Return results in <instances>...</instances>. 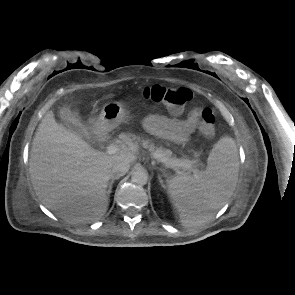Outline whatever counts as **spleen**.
<instances>
[{"instance_id": "3e777b00", "label": "spleen", "mask_w": 295, "mask_h": 295, "mask_svg": "<svg viewBox=\"0 0 295 295\" xmlns=\"http://www.w3.org/2000/svg\"><path fill=\"white\" fill-rule=\"evenodd\" d=\"M238 151L230 137L221 138L211 150L205 171L178 174L168 181L171 201L186 227L200 226L231 197L238 180Z\"/></svg>"}]
</instances>
